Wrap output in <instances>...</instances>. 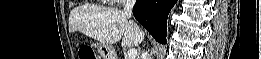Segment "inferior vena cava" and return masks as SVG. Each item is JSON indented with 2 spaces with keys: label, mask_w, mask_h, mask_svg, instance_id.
<instances>
[{
  "label": "inferior vena cava",
  "mask_w": 261,
  "mask_h": 59,
  "mask_svg": "<svg viewBox=\"0 0 261 59\" xmlns=\"http://www.w3.org/2000/svg\"><path fill=\"white\" fill-rule=\"evenodd\" d=\"M135 2H136V0H126L125 6H124V13L128 18H130L132 15V11H133ZM141 59H151L150 54L147 51L142 52Z\"/></svg>",
  "instance_id": "602c4592"
}]
</instances>
